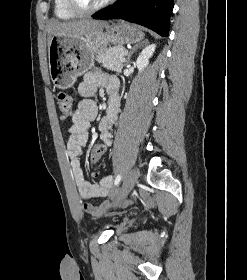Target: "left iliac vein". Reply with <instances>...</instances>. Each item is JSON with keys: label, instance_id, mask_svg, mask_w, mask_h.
Listing matches in <instances>:
<instances>
[{"label": "left iliac vein", "instance_id": "obj_1", "mask_svg": "<svg viewBox=\"0 0 247 280\" xmlns=\"http://www.w3.org/2000/svg\"><path fill=\"white\" fill-rule=\"evenodd\" d=\"M137 178L138 176L135 170H131L127 173L117 202L124 199L131 192L137 182Z\"/></svg>", "mask_w": 247, "mask_h": 280}]
</instances>
